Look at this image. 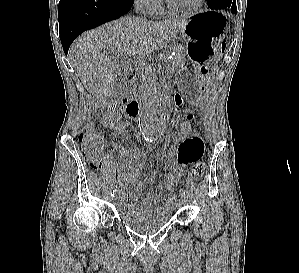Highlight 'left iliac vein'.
Instances as JSON below:
<instances>
[{
  "label": "left iliac vein",
  "mask_w": 299,
  "mask_h": 273,
  "mask_svg": "<svg viewBox=\"0 0 299 273\" xmlns=\"http://www.w3.org/2000/svg\"><path fill=\"white\" fill-rule=\"evenodd\" d=\"M177 203H178L179 206L184 205L185 204V198H184V196L180 195V197L178 198Z\"/></svg>",
  "instance_id": "obj_1"
}]
</instances>
